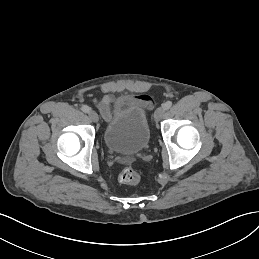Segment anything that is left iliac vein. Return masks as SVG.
I'll return each instance as SVG.
<instances>
[{
    "instance_id": "1",
    "label": "left iliac vein",
    "mask_w": 259,
    "mask_h": 259,
    "mask_svg": "<svg viewBox=\"0 0 259 259\" xmlns=\"http://www.w3.org/2000/svg\"><path fill=\"white\" fill-rule=\"evenodd\" d=\"M165 114V109L164 107H159L157 108V110L155 111V114H154V119L155 121H159L162 119V117L164 116Z\"/></svg>"
}]
</instances>
